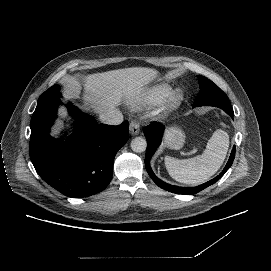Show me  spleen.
Wrapping results in <instances>:
<instances>
[{
	"label": "spleen",
	"instance_id": "obj_1",
	"mask_svg": "<svg viewBox=\"0 0 271 271\" xmlns=\"http://www.w3.org/2000/svg\"><path fill=\"white\" fill-rule=\"evenodd\" d=\"M228 144V134L216 129L201 155L190 159H178L168 155L165 157L166 169L179 182L191 185L202 183L219 169L226 156Z\"/></svg>",
	"mask_w": 271,
	"mask_h": 271
}]
</instances>
